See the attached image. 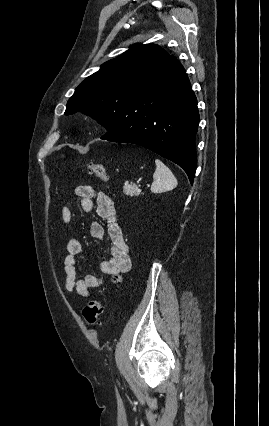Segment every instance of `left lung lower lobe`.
Listing matches in <instances>:
<instances>
[{
	"label": "left lung lower lobe",
	"mask_w": 269,
	"mask_h": 426,
	"mask_svg": "<svg viewBox=\"0 0 269 426\" xmlns=\"http://www.w3.org/2000/svg\"><path fill=\"white\" fill-rule=\"evenodd\" d=\"M198 123L189 79L179 61L169 56L151 84L131 98L113 134L102 139L146 147L182 167L192 184Z\"/></svg>",
	"instance_id": "0a47b994"
}]
</instances>
